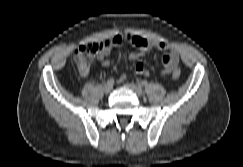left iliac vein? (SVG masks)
I'll list each match as a JSON object with an SVG mask.
<instances>
[{
	"instance_id": "1",
	"label": "left iliac vein",
	"mask_w": 243,
	"mask_h": 167,
	"mask_svg": "<svg viewBox=\"0 0 243 167\" xmlns=\"http://www.w3.org/2000/svg\"><path fill=\"white\" fill-rule=\"evenodd\" d=\"M125 87L132 90L136 95L141 96L143 95V90L141 87L137 86L136 84L132 82H127L125 84Z\"/></svg>"
}]
</instances>
